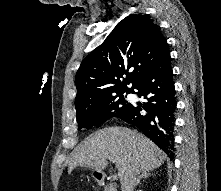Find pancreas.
<instances>
[{"label":"pancreas","instance_id":"1","mask_svg":"<svg viewBox=\"0 0 221 191\" xmlns=\"http://www.w3.org/2000/svg\"><path fill=\"white\" fill-rule=\"evenodd\" d=\"M104 191H117L113 185H108L104 188Z\"/></svg>","mask_w":221,"mask_h":191}]
</instances>
